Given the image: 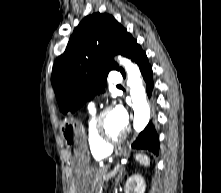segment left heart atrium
<instances>
[{
	"label": "left heart atrium",
	"instance_id": "obj_1",
	"mask_svg": "<svg viewBox=\"0 0 221 193\" xmlns=\"http://www.w3.org/2000/svg\"><path fill=\"white\" fill-rule=\"evenodd\" d=\"M117 120L123 125L126 126L128 122V114L126 109L122 105H116L112 110Z\"/></svg>",
	"mask_w": 221,
	"mask_h": 193
}]
</instances>
